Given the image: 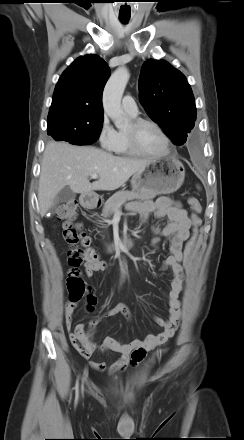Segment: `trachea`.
I'll list each match as a JSON object with an SVG mask.
<instances>
[{
	"label": "trachea",
	"instance_id": "1",
	"mask_svg": "<svg viewBox=\"0 0 244 440\" xmlns=\"http://www.w3.org/2000/svg\"><path fill=\"white\" fill-rule=\"evenodd\" d=\"M122 23H127L129 21V18H120Z\"/></svg>",
	"mask_w": 244,
	"mask_h": 440
}]
</instances>
